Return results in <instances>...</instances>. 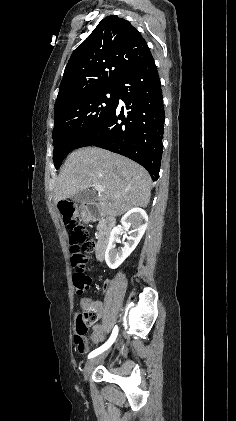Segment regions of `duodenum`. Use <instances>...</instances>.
Here are the masks:
<instances>
[{
	"label": "duodenum",
	"instance_id": "1",
	"mask_svg": "<svg viewBox=\"0 0 236 421\" xmlns=\"http://www.w3.org/2000/svg\"><path fill=\"white\" fill-rule=\"evenodd\" d=\"M82 218L84 222L99 221V233L96 243V258L101 261L104 259L108 245L110 243L113 229L115 226V218L111 215L101 212L98 205L94 202H87L81 206ZM104 328L101 327L95 338L94 342H98L103 338Z\"/></svg>",
	"mask_w": 236,
	"mask_h": 421
}]
</instances>
